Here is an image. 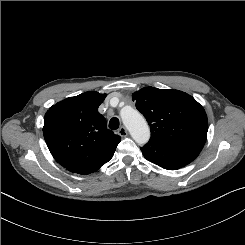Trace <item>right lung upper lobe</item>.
I'll return each mask as SVG.
<instances>
[{
  "label": "right lung upper lobe",
  "mask_w": 245,
  "mask_h": 245,
  "mask_svg": "<svg viewBox=\"0 0 245 245\" xmlns=\"http://www.w3.org/2000/svg\"><path fill=\"white\" fill-rule=\"evenodd\" d=\"M106 94L88 91L49 108L43 135L55 160L67 170L87 175L114 155L121 138L106 128L97 111Z\"/></svg>",
  "instance_id": "cb5924a9"
}]
</instances>
